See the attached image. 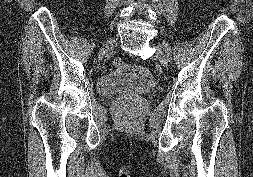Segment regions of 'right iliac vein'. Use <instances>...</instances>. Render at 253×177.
<instances>
[{"label":"right iliac vein","mask_w":253,"mask_h":177,"mask_svg":"<svg viewBox=\"0 0 253 177\" xmlns=\"http://www.w3.org/2000/svg\"><path fill=\"white\" fill-rule=\"evenodd\" d=\"M116 45V40L115 39H110L108 40L103 47L101 48L100 54H104L110 50H112Z\"/></svg>","instance_id":"63e3f726"}]
</instances>
